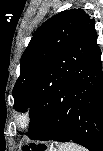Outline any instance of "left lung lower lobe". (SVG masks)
Returning a JSON list of instances; mask_svg holds the SVG:
<instances>
[{
	"label": "left lung lower lobe",
	"mask_w": 103,
	"mask_h": 151,
	"mask_svg": "<svg viewBox=\"0 0 103 151\" xmlns=\"http://www.w3.org/2000/svg\"><path fill=\"white\" fill-rule=\"evenodd\" d=\"M57 76L40 74L30 99L29 137L74 141L103 149V73L96 30H87L55 62Z\"/></svg>",
	"instance_id": "1"
}]
</instances>
